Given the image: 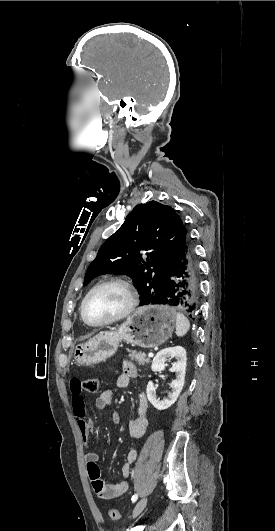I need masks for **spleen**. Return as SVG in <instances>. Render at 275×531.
<instances>
[{
  "label": "spleen",
  "instance_id": "3e777b00",
  "mask_svg": "<svg viewBox=\"0 0 275 531\" xmlns=\"http://www.w3.org/2000/svg\"><path fill=\"white\" fill-rule=\"evenodd\" d=\"M190 329V321L183 313H176V335L177 337H184Z\"/></svg>",
  "mask_w": 275,
  "mask_h": 531
}]
</instances>
